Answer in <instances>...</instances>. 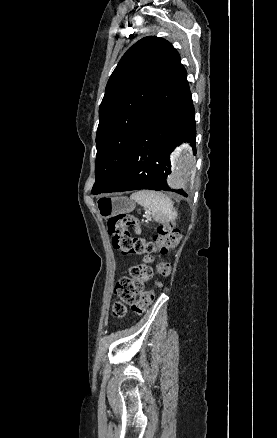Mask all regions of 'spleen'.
Listing matches in <instances>:
<instances>
[{"label":"spleen","instance_id":"3e777b00","mask_svg":"<svg viewBox=\"0 0 277 438\" xmlns=\"http://www.w3.org/2000/svg\"><path fill=\"white\" fill-rule=\"evenodd\" d=\"M131 200H135L140 206L148 208L154 220L157 222H173L177 218V212L171 204L170 198L161 194V192H153V190H141L132 194Z\"/></svg>","mask_w":277,"mask_h":438}]
</instances>
